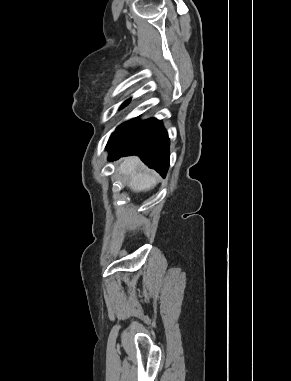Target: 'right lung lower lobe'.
<instances>
[{"label": "right lung lower lobe", "mask_w": 291, "mask_h": 381, "mask_svg": "<svg viewBox=\"0 0 291 381\" xmlns=\"http://www.w3.org/2000/svg\"><path fill=\"white\" fill-rule=\"evenodd\" d=\"M117 140L108 142L109 160L138 155L150 168L165 176L169 168V138L162 122L138 117L121 125Z\"/></svg>", "instance_id": "obj_1"}]
</instances>
